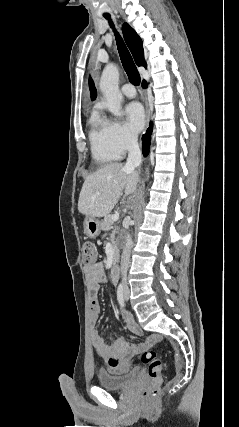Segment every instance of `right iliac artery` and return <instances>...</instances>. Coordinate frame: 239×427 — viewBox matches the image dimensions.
<instances>
[{
    "label": "right iliac artery",
    "instance_id": "right-iliac-artery-1",
    "mask_svg": "<svg viewBox=\"0 0 239 427\" xmlns=\"http://www.w3.org/2000/svg\"><path fill=\"white\" fill-rule=\"evenodd\" d=\"M117 300H118L119 304L122 307L125 306V303H124V291H123V285L122 284H120L118 286V289H117Z\"/></svg>",
    "mask_w": 239,
    "mask_h": 427
}]
</instances>
